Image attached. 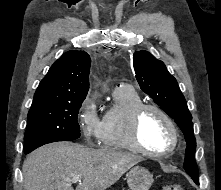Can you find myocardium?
Instances as JSON below:
<instances>
[{
  "label": "myocardium",
  "instance_id": "myocardium-1",
  "mask_svg": "<svg viewBox=\"0 0 221 190\" xmlns=\"http://www.w3.org/2000/svg\"><path fill=\"white\" fill-rule=\"evenodd\" d=\"M148 110L157 112L166 121V123L168 124L171 130L172 143L167 149H164L161 151L151 150L147 148L140 139L139 131H140L141 118L144 115V113ZM128 131H129V138L131 140V143L135 147V149L138 152L143 153L148 156L162 157V156L168 155L171 152H173L179 144V132L173 119L165 110H163L161 107L155 104L143 103L137 106L131 113Z\"/></svg>",
  "mask_w": 221,
  "mask_h": 190
}]
</instances>
